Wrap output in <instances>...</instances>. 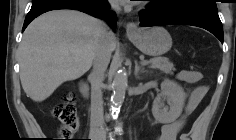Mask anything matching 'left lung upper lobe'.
<instances>
[{"mask_svg": "<svg viewBox=\"0 0 236 140\" xmlns=\"http://www.w3.org/2000/svg\"><path fill=\"white\" fill-rule=\"evenodd\" d=\"M154 4H160L167 9L179 6H192L209 10H217L215 0H153ZM152 4H149L151 6Z\"/></svg>", "mask_w": 236, "mask_h": 140, "instance_id": "1", "label": "left lung upper lobe"}]
</instances>
